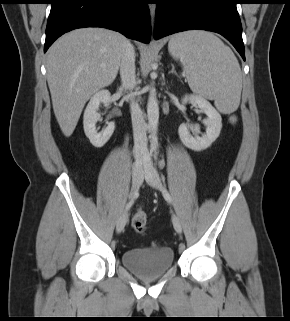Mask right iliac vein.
<instances>
[{
    "label": "right iliac vein",
    "mask_w": 290,
    "mask_h": 321,
    "mask_svg": "<svg viewBox=\"0 0 290 321\" xmlns=\"http://www.w3.org/2000/svg\"><path fill=\"white\" fill-rule=\"evenodd\" d=\"M142 174H143V166L142 163L136 162L133 165L132 169V189L129 194V200H132L135 196V193L139 189L142 182ZM128 220V211L125 210L120 215L117 223H116V232L121 233L127 223Z\"/></svg>",
    "instance_id": "right-iliac-vein-1"
}]
</instances>
